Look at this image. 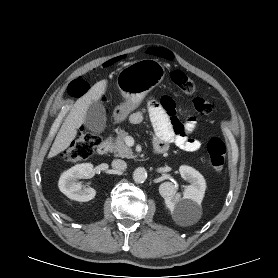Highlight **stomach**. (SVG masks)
I'll return each instance as SVG.
<instances>
[{
	"instance_id": "obj_1",
	"label": "stomach",
	"mask_w": 278,
	"mask_h": 278,
	"mask_svg": "<svg viewBox=\"0 0 278 278\" xmlns=\"http://www.w3.org/2000/svg\"><path fill=\"white\" fill-rule=\"evenodd\" d=\"M164 77L165 69L161 62L151 58L134 61L123 68L118 73L117 86L125 101L113 111L116 122L126 119Z\"/></svg>"
}]
</instances>
